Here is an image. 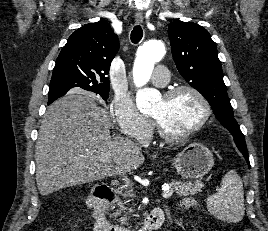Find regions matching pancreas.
I'll list each match as a JSON object with an SVG mask.
<instances>
[{
	"label": "pancreas",
	"instance_id": "cf45deb5",
	"mask_svg": "<svg viewBox=\"0 0 268 231\" xmlns=\"http://www.w3.org/2000/svg\"><path fill=\"white\" fill-rule=\"evenodd\" d=\"M170 187L175 190L176 194L179 196H189V195H195L199 192H201V189L203 187V184L200 182L192 183L190 181L188 182H181V181H175L172 180ZM122 189H118L115 191L114 199L110 203V210H115V212L112 214L114 217H120L118 222L121 224H125L127 221V214H124V212L127 210L124 205L127 204L128 201L122 202L119 196H123V198H129L131 197V189H126L124 192H122ZM123 214V216H122Z\"/></svg>",
	"mask_w": 268,
	"mask_h": 231
}]
</instances>
